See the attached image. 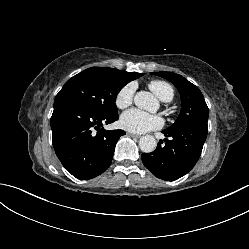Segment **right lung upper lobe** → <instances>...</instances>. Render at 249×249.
Wrapping results in <instances>:
<instances>
[{
    "label": "right lung upper lobe",
    "mask_w": 249,
    "mask_h": 249,
    "mask_svg": "<svg viewBox=\"0 0 249 249\" xmlns=\"http://www.w3.org/2000/svg\"><path fill=\"white\" fill-rule=\"evenodd\" d=\"M123 74L131 80H134L136 78H139L140 76H142V73H135V72H126V71H122Z\"/></svg>",
    "instance_id": "cb5924a9"
}]
</instances>
